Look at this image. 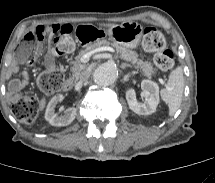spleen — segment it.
Segmentation results:
<instances>
[{
    "label": "spleen",
    "instance_id": "3e777b00",
    "mask_svg": "<svg viewBox=\"0 0 215 183\" xmlns=\"http://www.w3.org/2000/svg\"><path fill=\"white\" fill-rule=\"evenodd\" d=\"M183 91V71L181 67H177L169 74L166 87L160 91L162 100L169 107V115H174V113L179 109L182 102Z\"/></svg>",
    "mask_w": 215,
    "mask_h": 183
}]
</instances>
